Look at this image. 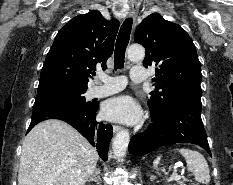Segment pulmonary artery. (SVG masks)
<instances>
[{
    "instance_id": "obj_1",
    "label": "pulmonary artery",
    "mask_w": 233,
    "mask_h": 185,
    "mask_svg": "<svg viewBox=\"0 0 233 185\" xmlns=\"http://www.w3.org/2000/svg\"><path fill=\"white\" fill-rule=\"evenodd\" d=\"M130 78L134 82H142L146 79V70L142 67H133L130 70ZM97 79L100 82L92 88L93 97H105L121 91L126 85L124 76L112 77L104 73H99Z\"/></svg>"
}]
</instances>
